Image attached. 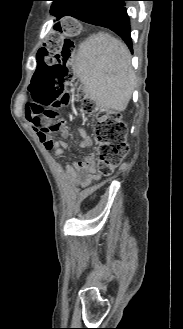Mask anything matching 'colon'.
Masks as SVG:
<instances>
[{"mask_svg":"<svg viewBox=\"0 0 183 329\" xmlns=\"http://www.w3.org/2000/svg\"><path fill=\"white\" fill-rule=\"evenodd\" d=\"M58 19V25H51V31H45L48 38L40 47L35 61L38 62V73L30 81L31 92L25 114H32L44 119L47 127L43 133H55L58 127L49 121L55 117L57 110L70 101V94L65 90L63 81L67 74V62L73 52V44H93V37H75L80 31L77 19ZM83 110L93 112L95 104L84 100ZM94 134L98 142L97 172L108 176L126 158L129 143L126 138V124L116 112L99 113L94 125ZM51 142H49V145Z\"/></svg>","mask_w":183,"mask_h":329,"instance_id":"5ec220e1","label":"colon"}]
</instances>
